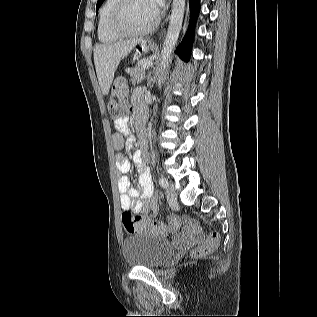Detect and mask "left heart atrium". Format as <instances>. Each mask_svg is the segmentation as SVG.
<instances>
[{"label":"left heart atrium","mask_w":317,"mask_h":317,"mask_svg":"<svg viewBox=\"0 0 317 317\" xmlns=\"http://www.w3.org/2000/svg\"><path fill=\"white\" fill-rule=\"evenodd\" d=\"M152 5L154 6V8L157 10V12L159 11V8L162 6L163 4V0H150Z\"/></svg>","instance_id":"obj_1"}]
</instances>
